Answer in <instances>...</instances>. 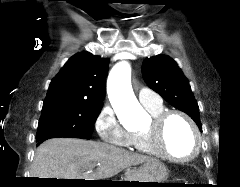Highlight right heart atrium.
Masks as SVG:
<instances>
[{
    "instance_id": "obj_1",
    "label": "right heart atrium",
    "mask_w": 240,
    "mask_h": 187,
    "mask_svg": "<svg viewBox=\"0 0 240 187\" xmlns=\"http://www.w3.org/2000/svg\"><path fill=\"white\" fill-rule=\"evenodd\" d=\"M95 129L105 143L120 147L130 146L131 134L123 128L110 106H105L97 116Z\"/></svg>"
}]
</instances>
